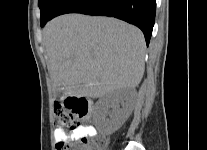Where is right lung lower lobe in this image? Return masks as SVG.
I'll list each match as a JSON object with an SVG mask.
<instances>
[{"label": "right lung lower lobe", "instance_id": "right-lung-lower-lobe-1", "mask_svg": "<svg viewBox=\"0 0 207 150\" xmlns=\"http://www.w3.org/2000/svg\"><path fill=\"white\" fill-rule=\"evenodd\" d=\"M155 11L156 0H63L52 18L66 13L115 17L139 27L148 46L155 22Z\"/></svg>", "mask_w": 207, "mask_h": 150}]
</instances>
